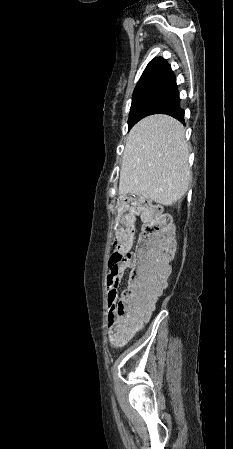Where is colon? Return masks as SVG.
Listing matches in <instances>:
<instances>
[{
	"label": "colon",
	"mask_w": 233,
	"mask_h": 449,
	"mask_svg": "<svg viewBox=\"0 0 233 449\" xmlns=\"http://www.w3.org/2000/svg\"><path fill=\"white\" fill-rule=\"evenodd\" d=\"M115 220L112 265L131 260L132 272L123 300L109 316L111 336L119 345L129 340L136 325L151 310L170 273L169 263L175 250L170 218L159 204L134 195L118 202ZM142 221L136 247L135 219Z\"/></svg>",
	"instance_id": "colon-1"
}]
</instances>
